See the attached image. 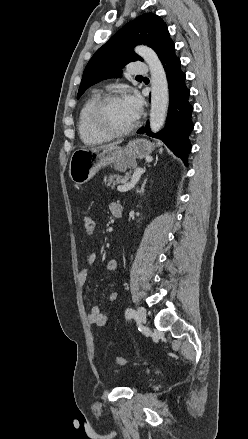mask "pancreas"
I'll use <instances>...</instances> for the list:
<instances>
[{"label":"pancreas","instance_id":"obj_1","mask_svg":"<svg viewBox=\"0 0 248 439\" xmlns=\"http://www.w3.org/2000/svg\"><path fill=\"white\" fill-rule=\"evenodd\" d=\"M130 172L126 173L125 176H120V175H109L108 177H104V182H108V186H110L111 188H114L116 184L119 183H124L126 182L128 179H130Z\"/></svg>","mask_w":248,"mask_h":439}]
</instances>
